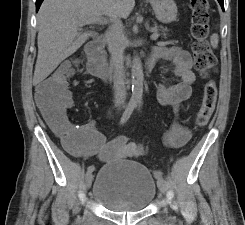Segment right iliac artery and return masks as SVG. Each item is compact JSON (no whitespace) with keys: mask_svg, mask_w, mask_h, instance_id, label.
<instances>
[{"mask_svg":"<svg viewBox=\"0 0 245 225\" xmlns=\"http://www.w3.org/2000/svg\"><path fill=\"white\" fill-rule=\"evenodd\" d=\"M135 107H136L135 102L130 101L128 103V105H127V107H126V109H125V111H124V113L120 119V125H124L127 122V120L130 118ZM94 169H95V167L93 165H91L87 168L88 172H93Z\"/></svg>","mask_w":245,"mask_h":225,"instance_id":"right-iliac-artery-1","label":"right iliac artery"}]
</instances>
